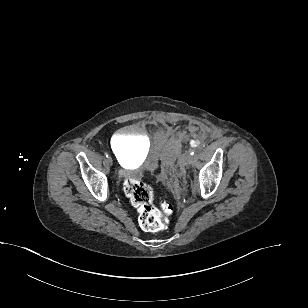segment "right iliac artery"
Here are the masks:
<instances>
[{"label":"right iliac artery","mask_w":308,"mask_h":308,"mask_svg":"<svg viewBox=\"0 0 308 308\" xmlns=\"http://www.w3.org/2000/svg\"><path fill=\"white\" fill-rule=\"evenodd\" d=\"M105 156H106V157H108V154H107V153H105Z\"/></svg>","instance_id":"right-iliac-artery-1"}]
</instances>
